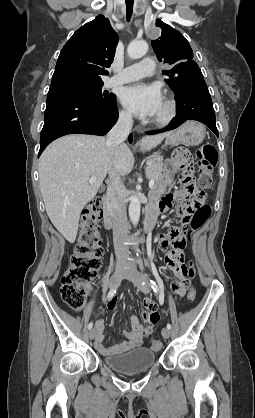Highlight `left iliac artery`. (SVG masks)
<instances>
[{
  "label": "left iliac artery",
  "instance_id": "1",
  "mask_svg": "<svg viewBox=\"0 0 255 418\" xmlns=\"http://www.w3.org/2000/svg\"><path fill=\"white\" fill-rule=\"evenodd\" d=\"M140 267H141V269L143 270V265H142V261L140 260ZM150 284H151V287H152V289H153V291L154 292H156V293H158V292H160V289H159V287L160 286H158L154 281H152V280H150ZM167 328L170 330L171 329V324H167Z\"/></svg>",
  "mask_w": 255,
  "mask_h": 418
}]
</instances>
